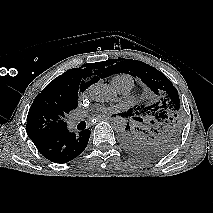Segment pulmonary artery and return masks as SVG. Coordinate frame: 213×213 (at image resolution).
I'll return each mask as SVG.
<instances>
[{
	"label": "pulmonary artery",
	"instance_id": "obj_1",
	"mask_svg": "<svg viewBox=\"0 0 213 213\" xmlns=\"http://www.w3.org/2000/svg\"><path fill=\"white\" fill-rule=\"evenodd\" d=\"M113 87L115 88L116 91H118L121 94H127L128 92L131 91L133 84L130 81H125L122 83H117L115 81H111ZM84 116V113H81L79 115H75L71 118V123L72 124H77Z\"/></svg>",
	"mask_w": 213,
	"mask_h": 213
}]
</instances>
